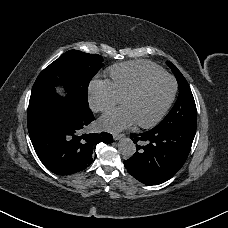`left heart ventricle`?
I'll return each mask as SVG.
<instances>
[{"mask_svg": "<svg viewBox=\"0 0 228 228\" xmlns=\"http://www.w3.org/2000/svg\"><path fill=\"white\" fill-rule=\"evenodd\" d=\"M171 90L168 79L154 81L148 89L125 104L132 111L135 119L141 123L151 121L161 110Z\"/></svg>", "mask_w": 228, "mask_h": 228, "instance_id": "b2bd125f", "label": "left heart ventricle"}]
</instances>
